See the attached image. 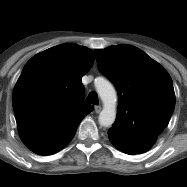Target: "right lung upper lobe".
<instances>
[{"mask_svg":"<svg viewBox=\"0 0 187 187\" xmlns=\"http://www.w3.org/2000/svg\"><path fill=\"white\" fill-rule=\"evenodd\" d=\"M91 49L65 43L32 57L15 85L12 105L24 144L33 152H56L93 107L84 103L81 78L92 67Z\"/></svg>","mask_w":187,"mask_h":187,"instance_id":"cb5924a9","label":"right lung upper lobe"}]
</instances>
